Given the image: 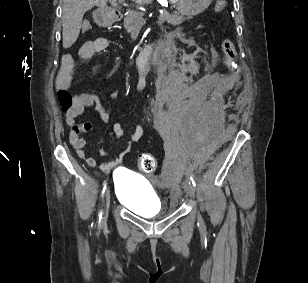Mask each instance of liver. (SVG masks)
Returning <instances> with one entry per match:
<instances>
[{
  "instance_id": "1",
  "label": "liver",
  "mask_w": 308,
  "mask_h": 283,
  "mask_svg": "<svg viewBox=\"0 0 308 283\" xmlns=\"http://www.w3.org/2000/svg\"><path fill=\"white\" fill-rule=\"evenodd\" d=\"M108 1L109 0H63L62 35L64 48L71 47L77 40L84 14L94 6L104 9ZM133 1L138 4H147L151 2V0Z\"/></svg>"
}]
</instances>
